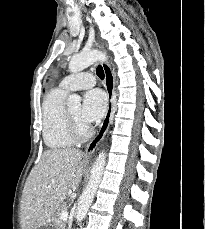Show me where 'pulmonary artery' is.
I'll return each instance as SVG.
<instances>
[{
  "label": "pulmonary artery",
  "instance_id": "e3ab8cb5",
  "mask_svg": "<svg viewBox=\"0 0 205 229\" xmlns=\"http://www.w3.org/2000/svg\"><path fill=\"white\" fill-rule=\"evenodd\" d=\"M95 85V78L89 72H80L66 76L59 88L69 93L75 90L90 88Z\"/></svg>",
  "mask_w": 205,
  "mask_h": 229
}]
</instances>
